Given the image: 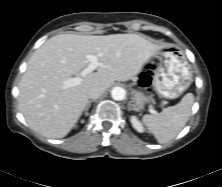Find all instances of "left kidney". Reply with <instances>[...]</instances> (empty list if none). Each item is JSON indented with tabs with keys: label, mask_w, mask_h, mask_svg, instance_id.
Returning <instances> with one entry per match:
<instances>
[{
	"label": "left kidney",
	"mask_w": 222,
	"mask_h": 187,
	"mask_svg": "<svg viewBox=\"0 0 222 187\" xmlns=\"http://www.w3.org/2000/svg\"><path fill=\"white\" fill-rule=\"evenodd\" d=\"M130 121L132 123V126L138 131V132H144V127L142 123L138 120L136 116H131Z\"/></svg>",
	"instance_id": "1"
}]
</instances>
